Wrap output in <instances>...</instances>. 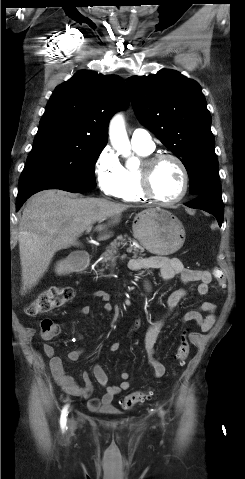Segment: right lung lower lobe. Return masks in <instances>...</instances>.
Masks as SVG:
<instances>
[{
  "label": "right lung lower lobe",
  "instance_id": "obj_1",
  "mask_svg": "<svg viewBox=\"0 0 245 479\" xmlns=\"http://www.w3.org/2000/svg\"><path fill=\"white\" fill-rule=\"evenodd\" d=\"M45 189H61L72 193H83L91 190L86 187H81L54 179H41L27 182L19 186L16 200V210L18 211L27 198H29L31 195Z\"/></svg>",
  "mask_w": 245,
  "mask_h": 479
}]
</instances>
